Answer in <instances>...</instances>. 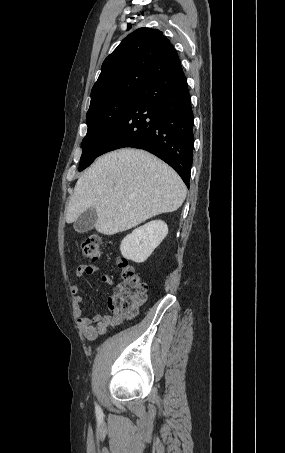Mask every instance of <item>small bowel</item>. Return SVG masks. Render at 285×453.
<instances>
[{"mask_svg": "<svg viewBox=\"0 0 285 453\" xmlns=\"http://www.w3.org/2000/svg\"><path fill=\"white\" fill-rule=\"evenodd\" d=\"M98 271L99 269L96 265H80L76 270V277L79 278L84 275H93ZM101 280L107 286H112L113 284L109 275L104 274L101 277ZM79 291V284H73L71 286L73 295V313L83 336L87 340L94 341L99 336L104 335L110 327L120 324L125 319V316L119 311L114 297H111L108 300V308L111 314H96L91 317L84 316L82 311L83 298L79 294Z\"/></svg>", "mask_w": 285, "mask_h": 453, "instance_id": "obj_1", "label": "small bowel"}]
</instances>
